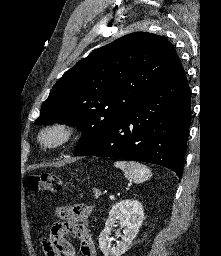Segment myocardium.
<instances>
[{
	"instance_id": "f54148a6",
	"label": "myocardium",
	"mask_w": 221,
	"mask_h": 256,
	"mask_svg": "<svg viewBox=\"0 0 221 256\" xmlns=\"http://www.w3.org/2000/svg\"><path fill=\"white\" fill-rule=\"evenodd\" d=\"M76 135V127L64 120H58L45 125L38 133V142L46 148H58L70 141Z\"/></svg>"
}]
</instances>
